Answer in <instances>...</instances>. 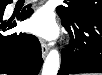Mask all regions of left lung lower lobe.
I'll use <instances>...</instances> for the list:
<instances>
[{
  "label": "left lung lower lobe",
  "instance_id": "left-lung-lower-lobe-1",
  "mask_svg": "<svg viewBox=\"0 0 102 75\" xmlns=\"http://www.w3.org/2000/svg\"><path fill=\"white\" fill-rule=\"evenodd\" d=\"M71 40L61 52L58 75L102 73V15L92 14L73 19L59 15Z\"/></svg>",
  "mask_w": 102,
  "mask_h": 75
}]
</instances>
